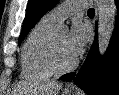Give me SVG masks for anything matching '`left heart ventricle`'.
Here are the masks:
<instances>
[{"instance_id": "1", "label": "left heart ventricle", "mask_w": 119, "mask_h": 95, "mask_svg": "<svg viewBox=\"0 0 119 95\" xmlns=\"http://www.w3.org/2000/svg\"><path fill=\"white\" fill-rule=\"evenodd\" d=\"M67 37L66 33L55 35L57 59L61 65H68L75 60L67 50Z\"/></svg>"}]
</instances>
